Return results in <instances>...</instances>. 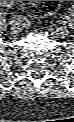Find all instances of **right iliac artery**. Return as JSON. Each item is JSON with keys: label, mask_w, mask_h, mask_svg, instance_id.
Returning a JSON list of instances; mask_svg holds the SVG:
<instances>
[{"label": "right iliac artery", "mask_w": 74, "mask_h": 122, "mask_svg": "<svg viewBox=\"0 0 74 122\" xmlns=\"http://www.w3.org/2000/svg\"><path fill=\"white\" fill-rule=\"evenodd\" d=\"M10 24H14V25H16V24H17L16 19H15V18H11V20H10Z\"/></svg>", "instance_id": "1"}]
</instances>
